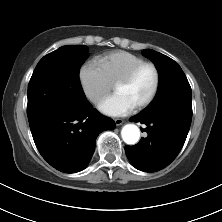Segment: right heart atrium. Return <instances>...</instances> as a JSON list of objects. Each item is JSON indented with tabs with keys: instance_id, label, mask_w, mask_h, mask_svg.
Wrapping results in <instances>:
<instances>
[{
	"instance_id": "right-heart-atrium-1",
	"label": "right heart atrium",
	"mask_w": 222,
	"mask_h": 222,
	"mask_svg": "<svg viewBox=\"0 0 222 222\" xmlns=\"http://www.w3.org/2000/svg\"><path fill=\"white\" fill-rule=\"evenodd\" d=\"M79 78L84 95L92 103L100 101L113 87L100 64L94 60L82 65Z\"/></svg>"
}]
</instances>
